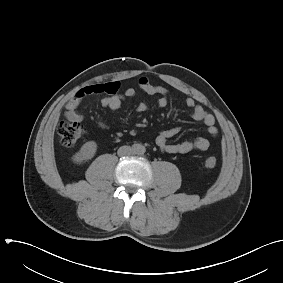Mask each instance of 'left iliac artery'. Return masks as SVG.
Here are the masks:
<instances>
[{"instance_id": "44dca946", "label": "left iliac artery", "mask_w": 283, "mask_h": 283, "mask_svg": "<svg viewBox=\"0 0 283 283\" xmlns=\"http://www.w3.org/2000/svg\"><path fill=\"white\" fill-rule=\"evenodd\" d=\"M144 152H145V148H144V147H141V148H140V153L143 154Z\"/></svg>"}]
</instances>
